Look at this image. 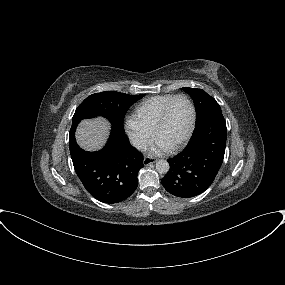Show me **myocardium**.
I'll return each instance as SVG.
<instances>
[{
	"label": "myocardium",
	"instance_id": "myocardium-1",
	"mask_svg": "<svg viewBox=\"0 0 285 285\" xmlns=\"http://www.w3.org/2000/svg\"><path fill=\"white\" fill-rule=\"evenodd\" d=\"M177 99H184L186 100V102L188 103L190 110H191V121H190V126L188 128L187 133L185 134V136L183 137V139L178 142L176 145L172 146L171 149L172 150H178L180 148H182L191 138L194 130H195V126H196V108L194 103L192 102V100L190 99L189 96H187L186 94H177L174 95L163 107L158 120L155 124L154 127V135L157 137V134L160 130V128L163 126V124L165 123L170 107L172 106V104L177 100Z\"/></svg>",
	"mask_w": 285,
	"mask_h": 285
}]
</instances>
